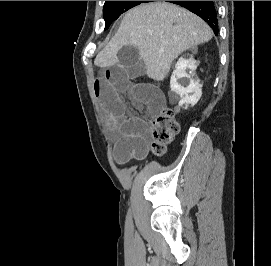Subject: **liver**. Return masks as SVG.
I'll list each match as a JSON object with an SVG mask.
<instances>
[{
	"label": "liver",
	"instance_id": "6515ba94",
	"mask_svg": "<svg viewBox=\"0 0 271 266\" xmlns=\"http://www.w3.org/2000/svg\"><path fill=\"white\" fill-rule=\"evenodd\" d=\"M212 36L210 27L184 8L165 2L143 4L125 14L117 33L94 63L111 67L119 61V50L132 45L150 69L147 76L162 81L174 59L187 49L208 42Z\"/></svg>",
	"mask_w": 271,
	"mask_h": 266
}]
</instances>
